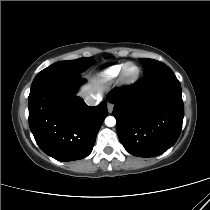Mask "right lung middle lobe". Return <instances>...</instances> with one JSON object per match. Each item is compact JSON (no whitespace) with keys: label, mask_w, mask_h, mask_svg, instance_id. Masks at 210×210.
<instances>
[{"label":"right lung middle lobe","mask_w":210,"mask_h":210,"mask_svg":"<svg viewBox=\"0 0 210 210\" xmlns=\"http://www.w3.org/2000/svg\"><path fill=\"white\" fill-rule=\"evenodd\" d=\"M94 58H79L76 60H67L56 62L42 70L40 73L49 71H64L71 73H81L94 63Z\"/></svg>","instance_id":"1"}]
</instances>
